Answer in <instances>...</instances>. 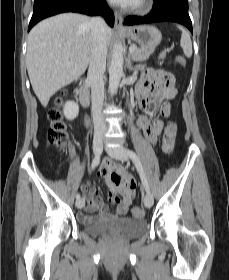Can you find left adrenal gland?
Returning a JSON list of instances; mask_svg holds the SVG:
<instances>
[{"label": "left adrenal gland", "instance_id": "obj_1", "mask_svg": "<svg viewBox=\"0 0 229 280\" xmlns=\"http://www.w3.org/2000/svg\"><path fill=\"white\" fill-rule=\"evenodd\" d=\"M127 68H128L129 70H134V67H133V65H132V63H131L130 54L128 55Z\"/></svg>", "mask_w": 229, "mask_h": 280}]
</instances>
